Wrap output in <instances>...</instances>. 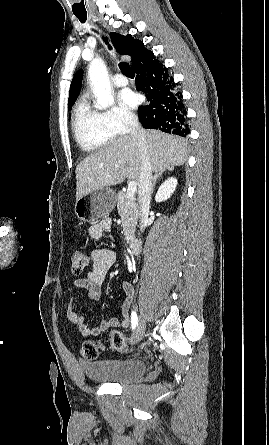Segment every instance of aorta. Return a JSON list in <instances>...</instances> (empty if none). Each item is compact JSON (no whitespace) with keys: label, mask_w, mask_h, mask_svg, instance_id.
Masks as SVG:
<instances>
[{"label":"aorta","mask_w":269,"mask_h":445,"mask_svg":"<svg viewBox=\"0 0 269 445\" xmlns=\"http://www.w3.org/2000/svg\"><path fill=\"white\" fill-rule=\"evenodd\" d=\"M89 80L96 95V107L106 109L113 104L110 82L106 67L101 59H94L89 65Z\"/></svg>","instance_id":"aorta-1"}]
</instances>
